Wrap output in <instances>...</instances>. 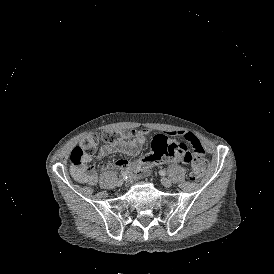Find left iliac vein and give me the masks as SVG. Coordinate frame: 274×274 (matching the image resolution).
Masks as SVG:
<instances>
[{"instance_id": "left-iliac-vein-1", "label": "left iliac vein", "mask_w": 274, "mask_h": 274, "mask_svg": "<svg viewBox=\"0 0 274 274\" xmlns=\"http://www.w3.org/2000/svg\"><path fill=\"white\" fill-rule=\"evenodd\" d=\"M161 183L166 188H169L172 186V181L167 178H161Z\"/></svg>"}]
</instances>
